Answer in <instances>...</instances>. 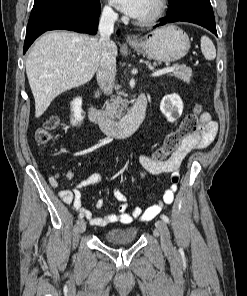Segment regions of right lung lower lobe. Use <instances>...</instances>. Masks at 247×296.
<instances>
[{
  "label": "right lung lower lobe",
  "instance_id": "1",
  "mask_svg": "<svg viewBox=\"0 0 247 296\" xmlns=\"http://www.w3.org/2000/svg\"><path fill=\"white\" fill-rule=\"evenodd\" d=\"M100 3L87 8L79 0H50L33 6L27 25L24 53L42 33L65 29L95 34L98 27Z\"/></svg>",
  "mask_w": 247,
  "mask_h": 296
}]
</instances>
